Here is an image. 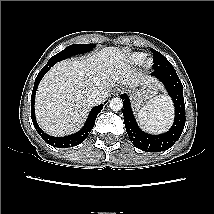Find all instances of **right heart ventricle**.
Here are the masks:
<instances>
[{"label":"right heart ventricle","instance_id":"obj_1","mask_svg":"<svg viewBox=\"0 0 214 214\" xmlns=\"http://www.w3.org/2000/svg\"><path fill=\"white\" fill-rule=\"evenodd\" d=\"M144 57H145V55L143 53L135 52L128 56L127 61L131 65H135V64L140 63L144 59Z\"/></svg>","mask_w":214,"mask_h":214}]
</instances>
